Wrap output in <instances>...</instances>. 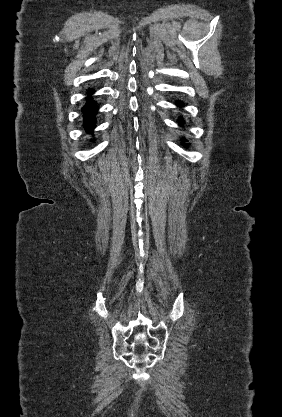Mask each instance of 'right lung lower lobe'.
Instances as JSON below:
<instances>
[{
	"label": "right lung lower lobe",
	"mask_w": 282,
	"mask_h": 417,
	"mask_svg": "<svg viewBox=\"0 0 282 417\" xmlns=\"http://www.w3.org/2000/svg\"><path fill=\"white\" fill-rule=\"evenodd\" d=\"M92 92H93L92 90H89L88 94H91ZM97 109H98V105L92 100H89L85 104V106L82 108V111L84 114V127H85V130L89 133H92V130L96 126L95 114H96Z\"/></svg>",
	"instance_id": "right-lung-lower-lobe-1"
}]
</instances>
